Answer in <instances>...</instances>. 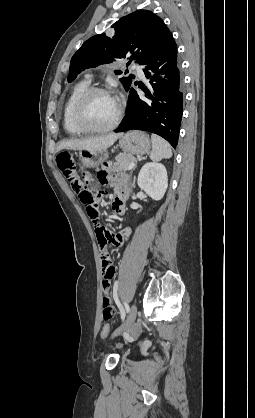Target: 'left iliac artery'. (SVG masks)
Listing matches in <instances>:
<instances>
[{
    "label": "left iliac artery",
    "instance_id": "obj_1",
    "mask_svg": "<svg viewBox=\"0 0 255 418\" xmlns=\"http://www.w3.org/2000/svg\"><path fill=\"white\" fill-rule=\"evenodd\" d=\"M124 305H125V309H126V311H127V313L129 312V306H128V304L127 303H124Z\"/></svg>",
    "mask_w": 255,
    "mask_h": 418
}]
</instances>
